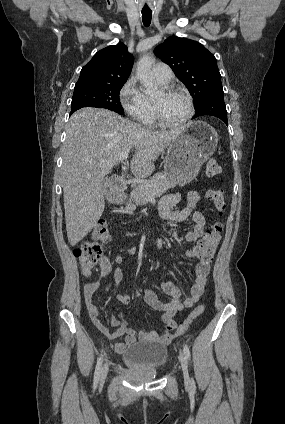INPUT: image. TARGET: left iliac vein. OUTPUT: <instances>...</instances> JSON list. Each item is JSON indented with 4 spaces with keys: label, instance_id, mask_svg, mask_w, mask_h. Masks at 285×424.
<instances>
[{
    "label": "left iliac vein",
    "instance_id": "left-iliac-vein-1",
    "mask_svg": "<svg viewBox=\"0 0 285 424\" xmlns=\"http://www.w3.org/2000/svg\"><path fill=\"white\" fill-rule=\"evenodd\" d=\"M179 360L181 362V367H182V372H183V377H184V382L185 384H190V377H189V372H188V361H187V357L186 354L181 351L179 354Z\"/></svg>",
    "mask_w": 285,
    "mask_h": 424
}]
</instances>
